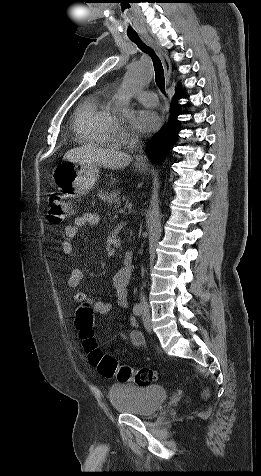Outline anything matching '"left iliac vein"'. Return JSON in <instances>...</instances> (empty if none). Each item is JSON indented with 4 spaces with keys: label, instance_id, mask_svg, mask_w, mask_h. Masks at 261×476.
<instances>
[{
    "label": "left iliac vein",
    "instance_id": "left-iliac-vein-1",
    "mask_svg": "<svg viewBox=\"0 0 261 476\" xmlns=\"http://www.w3.org/2000/svg\"><path fill=\"white\" fill-rule=\"evenodd\" d=\"M143 324L144 327L147 331H150L151 325H150V319H149V314L145 311L143 315Z\"/></svg>",
    "mask_w": 261,
    "mask_h": 476
}]
</instances>
